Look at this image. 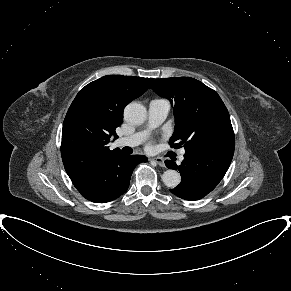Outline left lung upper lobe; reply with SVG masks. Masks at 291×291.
I'll use <instances>...</instances> for the list:
<instances>
[{"mask_svg": "<svg viewBox=\"0 0 291 291\" xmlns=\"http://www.w3.org/2000/svg\"><path fill=\"white\" fill-rule=\"evenodd\" d=\"M150 88L169 99L174 108L176 125L171 147L184 145L185 151L234 149L230 116L216 91L190 77L156 79Z\"/></svg>", "mask_w": 291, "mask_h": 291, "instance_id": "obj_1", "label": "left lung upper lobe"}]
</instances>
